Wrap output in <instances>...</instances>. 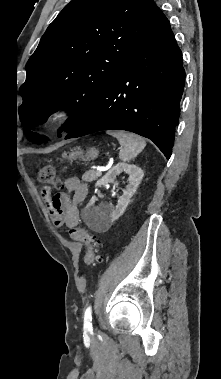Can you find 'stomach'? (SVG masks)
I'll return each instance as SVG.
<instances>
[{"label":"stomach","mask_w":221,"mask_h":379,"mask_svg":"<svg viewBox=\"0 0 221 379\" xmlns=\"http://www.w3.org/2000/svg\"><path fill=\"white\" fill-rule=\"evenodd\" d=\"M99 151L95 147H91L86 152V159L93 160L97 158Z\"/></svg>","instance_id":"stomach-1"}]
</instances>
